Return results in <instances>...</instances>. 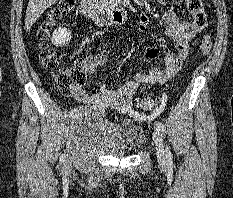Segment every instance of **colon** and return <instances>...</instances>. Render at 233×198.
<instances>
[{
    "label": "colon",
    "instance_id": "colon-1",
    "mask_svg": "<svg viewBox=\"0 0 233 198\" xmlns=\"http://www.w3.org/2000/svg\"><path fill=\"white\" fill-rule=\"evenodd\" d=\"M188 11L193 15V24L200 30L206 26L207 18L203 8V0H185ZM75 0H60L58 5L51 9L39 26L38 37L41 40V60L46 69L55 70L57 56L45 41L50 29L74 7ZM211 37L205 35L200 42L201 55L206 57L211 50ZM85 82V72L81 64H76L68 69H61L55 73V83L64 94H71L77 87ZM162 101L158 98L148 97L140 99L137 103L139 110L154 115L162 108Z\"/></svg>",
    "mask_w": 233,
    "mask_h": 198
}]
</instances>
